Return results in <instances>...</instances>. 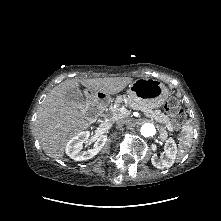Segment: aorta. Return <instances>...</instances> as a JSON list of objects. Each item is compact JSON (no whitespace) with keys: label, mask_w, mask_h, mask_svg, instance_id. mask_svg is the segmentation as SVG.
Listing matches in <instances>:
<instances>
[{"label":"aorta","mask_w":221,"mask_h":221,"mask_svg":"<svg viewBox=\"0 0 221 221\" xmlns=\"http://www.w3.org/2000/svg\"><path fill=\"white\" fill-rule=\"evenodd\" d=\"M141 134L144 137H152L156 134V128L152 123H145L141 126Z\"/></svg>","instance_id":"762f6f07"}]
</instances>
